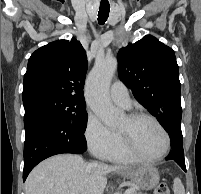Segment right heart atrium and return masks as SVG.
<instances>
[{
  "instance_id": "obj_1",
  "label": "right heart atrium",
  "mask_w": 201,
  "mask_h": 194,
  "mask_svg": "<svg viewBox=\"0 0 201 194\" xmlns=\"http://www.w3.org/2000/svg\"><path fill=\"white\" fill-rule=\"evenodd\" d=\"M84 138L89 150L100 158H105L117 141L116 132L109 129L100 118L92 112L88 113L85 122Z\"/></svg>"
}]
</instances>
